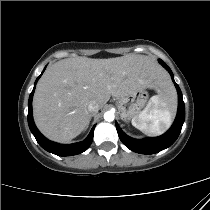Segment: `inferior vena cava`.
Masks as SVG:
<instances>
[{
	"mask_svg": "<svg viewBox=\"0 0 210 210\" xmlns=\"http://www.w3.org/2000/svg\"><path fill=\"white\" fill-rule=\"evenodd\" d=\"M87 109H88L90 115H92V114H95L98 112L99 105L96 102L92 101L88 104Z\"/></svg>",
	"mask_w": 210,
	"mask_h": 210,
	"instance_id": "1",
	"label": "inferior vena cava"
}]
</instances>
